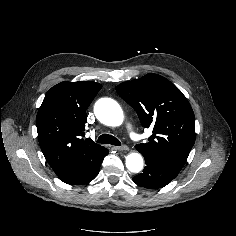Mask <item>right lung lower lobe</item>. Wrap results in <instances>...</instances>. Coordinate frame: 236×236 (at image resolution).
Instances as JSON below:
<instances>
[{
	"label": "right lung lower lobe",
	"instance_id": "obj_1",
	"mask_svg": "<svg viewBox=\"0 0 236 236\" xmlns=\"http://www.w3.org/2000/svg\"><path fill=\"white\" fill-rule=\"evenodd\" d=\"M107 154L108 150L106 149L94 160L86 162L76 174L69 178L62 179V181L70 185H83L92 181L98 174L101 162Z\"/></svg>",
	"mask_w": 236,
	"mask_h": 236
}]
</instances>
